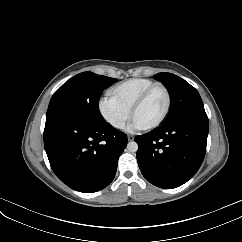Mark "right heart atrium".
Wrapping results in <instances>:
<instances>
[{
	"mask_svg": "<svg viewBox=\"0 0 242 242\" xmlns=\"http://www.w3.org/2000/svg\"><path fill=\"white\" fill-rule=\"evenodd\" d=\"M98 108L103 119L115 129H122L130 118V111L111 97L99 100Z\"/></svg>",
	"mask_w": 242,
	"mask_h": 242,
	"instance_id": "1",
	"label": "right heart atrium"
}]
</instances>
